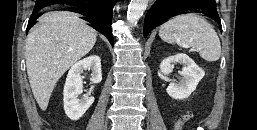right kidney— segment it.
<instances>
[{"instance_id":"ca27d5eb","label":"right kidney","mask_w":257,"mask_h":130,"mask_svg":"<svg viewBox=\"0 0 257 130\" xmlns=\"http://www.w3.org/2000/svg\"><path fill=\"white\" fill-rule=\"evenodd\" d=\"M91 69L90 81L98 84L102 80L101 59L97 55H91L75 63L68 72L63 90L64 111L71 120H78L93 104L94 97L91 91L82 98H78L83 92L81 73L83 70Z\"/></svg>"}]
</instances>
